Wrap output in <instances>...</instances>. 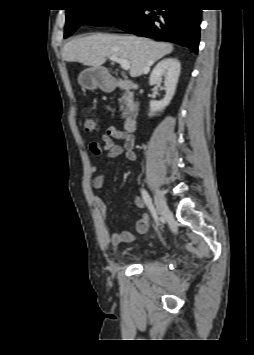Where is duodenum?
<instances>
[{
	"mask_svg": "<svg viewBox=\"0 0 254 355\" xmlns=\"http://www.w3.org/2000/svg\"><path fill=\"white\" fill-rule=\"evenodd\" d=\"M118 87L129 90L131 92L135 91L138 88L137 84L130 81L123 80L121 78H116L115 81H111L107 85V88L109 89H116ZM137 116H138V107L137 105H134L132 111L128 114L124 122V128L127 132L132 133L136 130Z\"/></svg>",
	"mask_w": 254,
	"mask_h": 355,
	"instance_id": "1",
	"label": "duodenum"
}]
</instances>
